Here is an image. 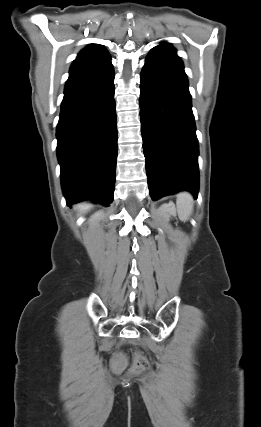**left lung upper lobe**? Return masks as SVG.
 Returning <instances> with one entry per match:
<instances>
[{"label":"left lung upper lobe","mask_w":261,"mask_h":427,"mask_svg":"<svg viewBox=\"0 0 261 427\" xmlns=\"http://www.w3.org/2000/svg\"><path fill=\"white\" fill-rule=\"evenodd\" d=\"M157 47H161V48H163V49H166V50H168V51H171V52L176 53V50H175V49L172 47V45H171V44H169V43H162V44L158 45Z\"/></svg>","instance_id":"left-lung-upper-lobe-1"}]
</instances>
